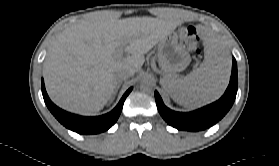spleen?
Here are the masks:
<instances>
[{"instance_id":"spleen-1","label":"spleen","mask_w":279,"mask_h":166,"mask_svg":"<svg viewBox=\"0 0 279 166\" xmlns=\"http://www.w3.org/2000/svg\"><path fill=\"white\" fill-rule=\"evenodd\" d=\"M205 60L199 68L180 79L163 78V88L172 99L185 107H196L209 103L227 87L231 61L221 41L208 29H202Z\"/></svg>"}]
</instances>
